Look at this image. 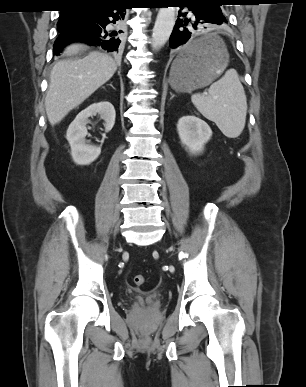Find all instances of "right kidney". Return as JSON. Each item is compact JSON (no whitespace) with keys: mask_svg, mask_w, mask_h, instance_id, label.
Returning <instances> with one entry per match:
<instances>
[{"mask_svg":"<svg viewBox=\"0 0 306 387\" xmlns=\"http://www.w3.org/2000/svg\"><path fill=\"white\" fill-rule=\"evenodd\" d=\"M100 115L104 120L105 131L109 132L115 123V109L108 101L93 103L82 110L69 125L66 138L71 147V156L78 165H89L95 161L101 153V147L90 144L86 139V125L90 122L89 117Z\"/></svg>","mask_w":306,"mask_h":387,"instance_id":"ca27d5eb","label":"right kidney"}]
</instances>
